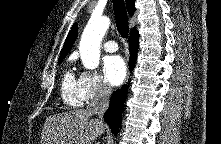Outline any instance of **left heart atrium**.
I'll use <instances>...</instances> for the list:
<instances>
[{
    "label": "left heart atrium",
    "mask_w": 221,
    "mask_h": 144,
    "mask_svg": "<svg viewBox=\"0 0 221 144\" xmlns=\"http://www.w3.org/2000/svg\"><path fill=\"white\" fill-rule=\"evenodd\" d=\"M104 75L107 81L114 86L120 85L126 76V65L118 55L108 56L104 59Z\"/></svg>",
    "instance_id": "left-heart-atrium-1"
}]
</instances>
